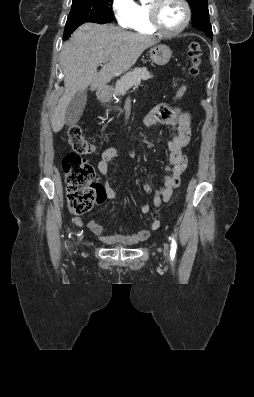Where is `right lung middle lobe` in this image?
<instances>
[{
	"label": "right lung middle lobe",
	"mask_w": 254,
	"mask_h": 397,
	"mask_svg": "<svg viewBox=\"0 0 254 397\" xmlns=\"http://www.w3.org/2000/svg\"><path fill=\"white\" fill-rule=\"evenodd\" d=\"M112 2L113 0H73L66 25L76 22L109 23L112 21Z\"/></svg>",
	"instance_id": "right-lung-middle-lobe-1"
}]
</instances>
